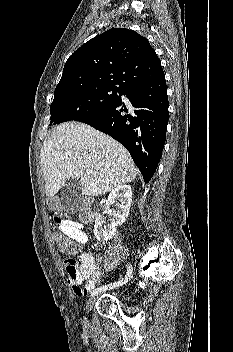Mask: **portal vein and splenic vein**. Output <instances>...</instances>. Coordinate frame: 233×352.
<instances>
[{
    "label": "portal vein and splenic vein",
    "mask_w": 233,
    "mask_h": 352,
    "mask_svg": "<svg viewBox=\"0 0 233 352\" xmlns=\"http://www.w3.org/2000/svg\"><path fill=\"white\" fill-rule=\"evenodd\" d=\"M86 173H87L88 175H90V174L92 173V170H91V169H86Z\"/></svg>",
    "instance_id": "portal-vein-and-splenic-vein-1"
}]
</instances>
